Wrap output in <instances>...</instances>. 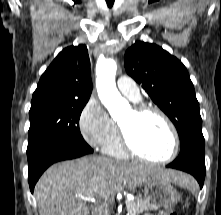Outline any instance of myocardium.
<instances>
[{"instance_id": "f54148a6", "label": "myocardium", "mask_w": 221, "mask_h": 215, "mask_svg": "<svg viewBox=\"0 0 221 215\" xmlns=\"http://www.w3.org/2000/svg\"><path fill=\"white\" fill-rule=\"evenodd\" d=\"M133 113L136 116H142L148 113H153L158 115L165 125L167 126L171 137H172V150L171 153L164 159L161 160H153L141 154L132 144L131 139L125 130V128L119 123V136L120 142L122 145L123 150L129 155L139 160L145 161L147 163L156 164V165H164L172 162L178 155L179 148H180V138L178 132L170 120V118L158 107L152 105H137L132 109Z\"/></svg>"}]
</instances>
